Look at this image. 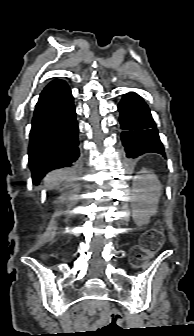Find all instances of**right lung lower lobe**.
I'll list each match as a JSON object with an SVG mask.
<instances>
[{"mask_svg":"<svg viewBox=\"0 0 194 336\" xmlns=\"http://www.w3.org/2000/svg\"><path fill=\"white\" fill-rule=\"evenodd\" d=\"M78 124L71 90L54 80L40 94L29 142V167L34 184L49 171L75 164L79 158Z\"/></svg>","mask_w":194,"mask_h":336,"instance_id":"1","label":"right lung lower lobe"}]
</instances>
